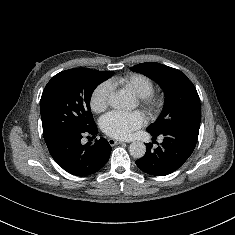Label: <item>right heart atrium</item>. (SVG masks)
<instances>
[{
	"instance_id": "d8ad5b80",
	"label": "right heart atrium",
	"mask_w": 235,
	"mask_h": 235,
	"mask_svg": "<svg viewBox=\"0 0 235 235\" xmlns=\"http://www.w3.org/2000/svg\"><path fill=\"white\" fill-rule=\"evenodd\" d=\"M112 94L110 83L103 82L99 84L92 92L90 97V108L94 113L104 112L109 104Z\"/></svg>"
}]
</instances>
